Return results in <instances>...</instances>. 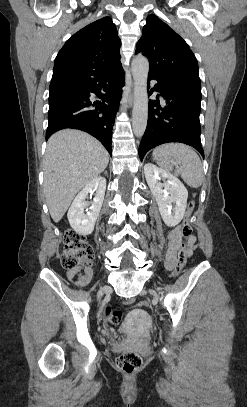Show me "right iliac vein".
<instances>
[{
	"instance_id": "1",
	"label": "right iliac vein",
	"mask_w": 247,
	"mask_h": 407,
	"mask_svg": "<svg viewBox=\"0 0 247 407\" xmlns=\"http://www.w3.org/2000/svg\"><path fill=\"white\" fill-rule=\"evenodd\" d=\"M110 290L109 286H104L98 293V297H101L103 292H108Z\"/></svg>"
}]
</instances>
